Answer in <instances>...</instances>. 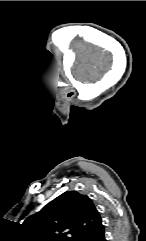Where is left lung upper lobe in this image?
<instances>
[{"label":"left lung upper lobe","instance_id":"left-lung-upper-lobe-1","mask_svg":"<svg viewBox=\"0 0 146 241\" xmlns=\"http://www.w3.org/2000/svg\"><path fill=\"white\" fill-rule=\"evenodd\" d=\"M100 222L99 212L88 196L67 191L23 224L36 241H79Z\"/></svg>","mask_w":146,"mask_h":241}]
</instances>
